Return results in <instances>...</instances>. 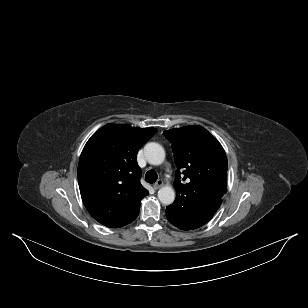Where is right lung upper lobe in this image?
<instances>
[{"instance_id": "obj_1", "label": "right lung upper lobe", "mask_w": 308, "mask_h": 308, "mask_svg": "<svg viewBox=\"0 0 308 308\" xmlns=\"http://www.w3.org/2000/svg\"><path fill=\"white\" fill-rule=\"evenodd\" d=\"M155 128L107 124L95 132L81 153L78 183L83 203L99 223L118 228L139 214L148 191L140 184L139 148Z\"/></svg>"}]
</instances>
